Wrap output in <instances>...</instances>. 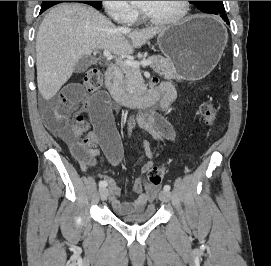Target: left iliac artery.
<instances>
[{
  "instance_id": "44dca946",
  "label": "left iliac artery",
  "mask_w": 271,
  "mask_h": 266,
  "mask_svg": "<svg viewBox=\"0 0 271 266\" xmlns=\"http://www.w3.org/2000/svg\"><path fill=\"white\" fill-rule=\"evenodd\" d=\"M163 189H164V191H168L169 192L170 189H171V187L169 185H165Z\"/></svg>"
}]
</instances>
